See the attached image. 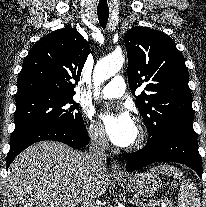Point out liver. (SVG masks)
Here are the masks:
<instances>
[{
  "label": "liver",
  "mask_w": 206,
  "mask_h": 207,
  "mask_svg": "<svg viewBox=\"0 0 206 207\" xmlns=\"http://www.w3.org/2000/svg\"><path fill=\"white\" fill-rule=\"evenodd\" d=\"M87 154L55 141L38 142L11 163L6 191L9 207H76L85 196H102L108 186L103 172L94 188Z\"/></svg>",
  "instance_id": "obj_1"
}]
</instances>
